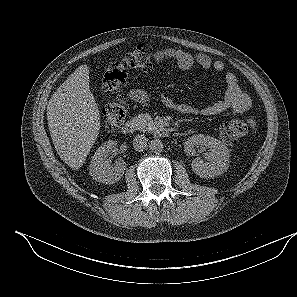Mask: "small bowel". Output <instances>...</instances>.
Listing matches in <instances>:
<instances>
[{"label": "small bowel", "mask_w": 297, "mask_h": 297, "mask_svg": "<svg viewBox=\"0 0 297 297\" xmlns=\"http://www.w3.org/2000/svg\"><path fill=\"white\" fill-rule=\"evenodd\" d=\"M153 57L157 62L174 61L182 70H190L195 65L205 69H213L217 72H222L225 69V64L220 60H213L204 54L193 56L187 52L172 48L156 49ZM224 81L226 87L223 98L211 104L201 106L178 104L166 94L161 95V101L165 107L186 115L212 116L227 110L236 113H246L249 111L251 99L241 90L235 75L230 72L225 73ZM128 95L133 101L141 105L146 106L149 103V96L142 89L132 88Z\"/></svg>", "instance_id": "1"}]
</instances>
